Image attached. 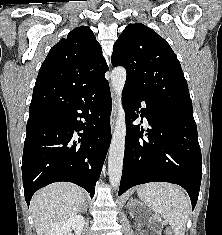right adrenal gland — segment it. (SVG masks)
<instances>
[{
	"label": "right adrenal gland",
	"mask_w": 222,
	"mask_h": 235,
	"mask_svg": "<svg viewBox=\"0 0 222 235\" xmlns=\"http://www.w3.org/2000/svg\"><path fill=\"white\" fill-rule=\"evenodd\" d=\"M82 212H85V213L87 212V202L86 201L84 202L83 207L81 209V213Z\"/></svg>",
	"instance_id": "right-adrenal-gland-1"
}]
</instances>
